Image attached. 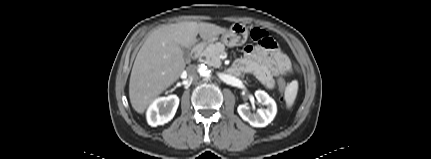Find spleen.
I'll use <instances>...</instances> for the list:
<instances>
[{
  "instance_id": "spleen-1",
  "label": "spleen",
  "mask_w": 431,
  "mask_h": 159,
  "mask_svg": "<svg viewBox=\"0 0 431 159\" xmlns=\"http://www.w3.org/2000/svg\"><path fill=\"white\" fill-rule=\"evenodd\" d=\"M298 91V82L296 80L292 81L286 91H285V101L287 108H291L294 104L296 95Z\"/></svg>"
}]
</instances>
